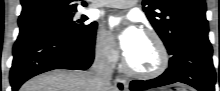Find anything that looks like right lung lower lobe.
Wrapping results in <instances>:
<instances>
[{
    "instance_id": "obj_1",
    "label": "right lung lower lobe",
    "mask_w": 220,
    "mask_h": 91,
    "mask_svg": "<svg viewBox=\"0 0 220 91\" xmlns=\"http://www.w3.org/2000/svg\"><path fill=\"white\" fill-rule=\"evenodd\" d=\"M95 36L76 41L43 27L20 28L10 71L12 91L31 77L53 69L85 70L94 58Z\"/></svg>"
}]
</instances>
